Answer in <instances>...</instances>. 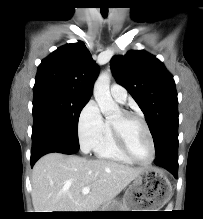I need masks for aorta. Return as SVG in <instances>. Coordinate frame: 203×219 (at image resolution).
Listing matches in <instances>:
<instances>
[{
	"instance_id": "1",
	"label": "aorta",
	"mask_w": 203,
	"mask_h": 219,
	"mask_svg": "<svg viewBox=\"0 0 203 219\" xmlns=\"http://www.w3.org/2000/svg\"><path fill=\"white\" fill-rule=\"evenodd\" d=\"M94 97L104 116H111L119 112V106L110 94V75L101 73L94 84Z\"/></svg>"
}]
</instances>
